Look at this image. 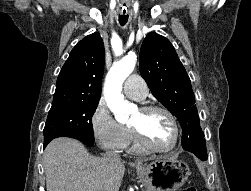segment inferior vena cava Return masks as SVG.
I'll return each instance as SVG.
<instances>
[{"mask_svg":"<svg viewBox=\"0 0 251 191\" xmlns=\"http://www.w3.org/2000/svg\"><path fill=\"white\" fill-rule=\"evenodd\" d=\"M103 157L104 159H108V161H115V163H119V161H121V157L117 151H106Z\"/></svg>","mask_w":251,"mask_h":191,"instance_id":"1","label":"inferior vena cava"}]
</instances>
